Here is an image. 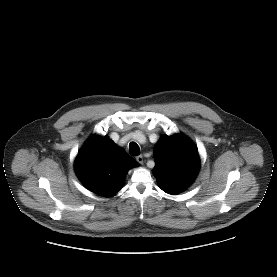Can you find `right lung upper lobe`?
Here are the masks:
<instances>
[{"label": "right lung upper lobe", "mask_w": 277, "mask_h": 277, "mask_svg": "<svg viewBox=\"0 0 277 277\" xmlns=\"http://www.w3.org/2000/svg\"><path fill=\"white\" fill-rule=\"evenodd\" d=\"M137 166L134 158L107 137L93 136L81 148L75 171L92 192L112 196L121 190L128 169Z\"/></svg>", "instance_id": "cb5924a9"}]
</instances>
